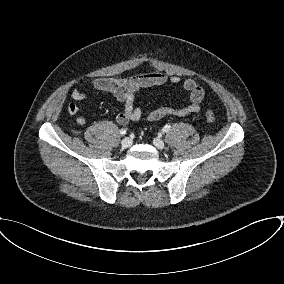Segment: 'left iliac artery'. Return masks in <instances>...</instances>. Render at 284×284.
<instances>
[{
  "mask_svg": "<svg viewBox=\"0 0 284 284\" xmlns=\"http://www.w3.org/2000/svg\"><path fill=\"white\" fill-rule=\"evenodd\" d=\"M170 128H171L170 124H166V125L163 127L162 131H163V132H168V131L170 130Z\"/></svg>",
  "mask_w": 284,
  "mask_h": 284,
  "instance_id": "left-iliac-artery-1",
  "label": "left iliac artery"
}]
</instances>
